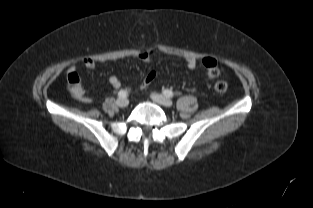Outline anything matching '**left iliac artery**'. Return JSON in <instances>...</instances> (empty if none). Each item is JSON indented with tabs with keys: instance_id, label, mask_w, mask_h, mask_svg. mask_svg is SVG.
I'll return each mask as SVG.
<instances>
[{
	"instance_id": "obj_1",
	"label": "left iliac artery",
	"mask_w": 313,
	"mask_h": 208,
	"mask_svg": "<svg viewBox=\"0 0 313 208\" xmlns=\"http://www.w3.org/2000/svg\"><path fill=\"white\" fill-rule=\"evenodd\" d=\"M163 94L165 96H167V97H173L174 96V93L171 90H168V89L164 90Z\"/></svg>"
}]
</instances>
